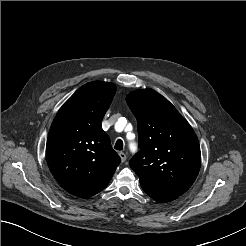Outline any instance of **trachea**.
Returning <instances> with one entry per match:
<instances>
[{
	"label": "trachea",
	"instance_id": "3493384b",
	"mask_svg": "<svg viewBox=\"0 0 246 246\" xmlns=\"http://www.w3.org/2000/svg\"><path fill=\"white\" fill-rule=\"evenodd\" d=\"M116 150H123V141L121 139H118L116 141V144L114 146Z\"/></svg>",
	"mask_w": 246,
	"mask_h": 246
}]
</instances>
